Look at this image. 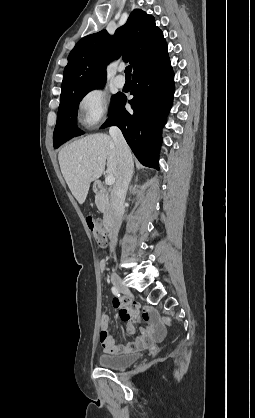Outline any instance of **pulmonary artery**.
Instances as JSON below:
<instances>
[{"instance_id":"obj_1","label":"pulmonary artery","mask_w":255,"mask_h":418,"mask_svg":"<svg viewBox=\"0 0 255 418\" xmlns=\"http://www.w3.org/2000/svg\"><path fill=\"white\" fill-rule=\"evenodd\" d=\"M119 71H122V67L119 68ZM114 81H115V84L118 87H123L125 85V82H126L125 77L123 75H121V74L117 75L115 77V80Z\"/></svg>"}]
</instances>
